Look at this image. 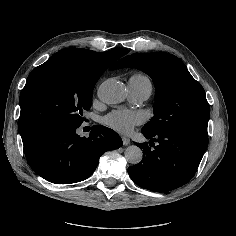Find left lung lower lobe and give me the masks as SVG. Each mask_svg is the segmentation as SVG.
I'll return each mask as SVG.
<instances>
[{
    "label": "left lung lower lobe",
    "mask_w": 236,
    "mask_h": 236,
    "mask_svg": "<svg viewBox=\"0 0 236 236\" xmlns=\"http://www.w3.org/2000/svg\"><path fill=\"white\" fill-rule=\"evenodd\" d=\"M150 139L135 143L143 150L141 162L128 168L141 188L167 192L186 184L196 173L208 145V137L187 131L142 132Z\"/></svg>",
    "instance_id": "0a47b994"
}]
</instances>
